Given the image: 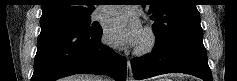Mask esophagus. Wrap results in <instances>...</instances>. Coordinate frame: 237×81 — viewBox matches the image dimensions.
<instances>
[{"instance_id": "34e87169", "label": "esophagus", "mask_w": 237, "mask_h": 81, "mask_svg": "<svg viewBox=\"0 0 237 81\" xmlns=\"http://www.w3.org/2000/svg\"><path fill=\"white\" fill-rule=\"evenodd\" d=\"M127 81H133L131 63L129 60H127Z\"/></svg>"}]
</instances>
